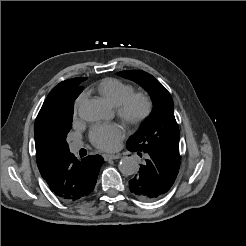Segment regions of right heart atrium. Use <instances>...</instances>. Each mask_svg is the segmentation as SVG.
<instances>
[{
    "instance_id": "right-heart-atrium-1",
    "label": "right heart atrium",
    "mask_w": 246,
    "mask_h": 246,
    "mask_svg": "<svg viewBox=\"0 0 246 246\" xmlns=\"http://www.w3.org/2000/svg\"><path fill=\"white\" fill-rule=\"evenodd\" d=\"M84 100V94L79 95L74 102V114L76 115L82 102Z\"/></svg>"
}]
</instances>
